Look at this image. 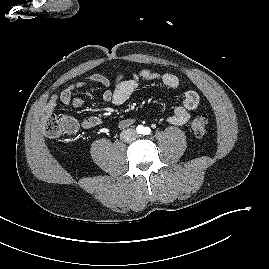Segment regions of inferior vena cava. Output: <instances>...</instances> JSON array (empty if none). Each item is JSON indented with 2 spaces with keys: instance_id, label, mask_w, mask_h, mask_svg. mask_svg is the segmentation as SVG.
<instances>
[{
  "instance_id": "obj_1",
  "label": "inferior vena cava",
  "mask_w": 269,
  "mask_h": 269,
  "mask_svg": "<svg viewBox=\"0 0 269 269\" xmlns=\"http://www.w3.org/2000/svg\"><path fill=\"white\" fill-rule=\"evenodd\" d=\"M120 136L122 140L126 142H130L136 139L137 133L135 130L128 128V129L123 130Z\"/></svg>"
}]
</instances>
